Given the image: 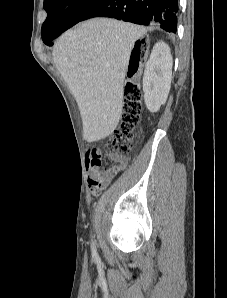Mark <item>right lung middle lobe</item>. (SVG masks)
<instances>
[{
	"instance_id": "dd1d6c3e",
	"label": "right lung middle lobe",
	"mask_w": 227,
	"mask_h": 298,
	"mask_svg": "<svg viewBox=\"0 0 227 298\" xmlns=\"http://www.w3.org/2000/svg\"><path fill=\"white\" fill-rule=\"evenodd\" d=\"M100 0H44L47 18L42 26V39L46 44L51 36L65 31L84 17Z\"/></svg>"
}]
</instances>
